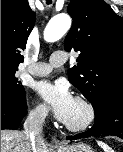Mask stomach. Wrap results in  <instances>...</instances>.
<instances>
[{
    "instance_id": "obj_1",
    "label": "stomach",
    "mask_w": 123,
    "mask_h": 152,
    "mask_svg": "<svg viewBox=\"0 0 123 152\" xmlns=\"http://www.w3.org/2000/svg\"><path fill=\"white\" fill-rule=\"evenodd\" d=\"M57 152H94V151L90 146L84 143H77L63 148H58Z\"/></svg>"
}]
</instances>
